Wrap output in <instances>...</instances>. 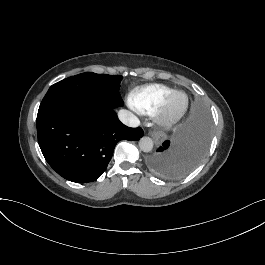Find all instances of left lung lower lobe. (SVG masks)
I'll use <instances>...</instances> for the list:
<instances>
[{"mask_svg": "<svg viewBox=\"0 0 265 265\" xmlns=\"http://www.w3.org/2000/svg\"><path fill=\"white\" fill-rule=\"evenodd\" d=\"M210 140L206 108L195 104L187 120L147 158L152 172L165 178H179L191 172L205 156Z\"/></svg>", "mask_w": 265, "mask_h": 265, "instance_id": "0a47b994", "label": "left lung lower lobe"}]
</instances>
